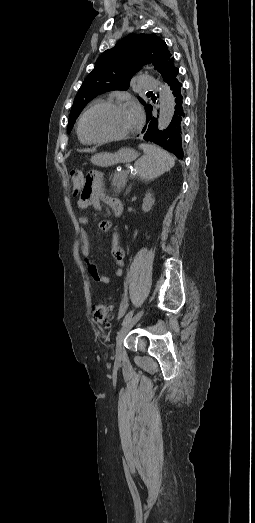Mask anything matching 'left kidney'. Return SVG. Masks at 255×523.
Instances as JSON below:
<instances>
[{
    "mask_svg": "<svg viewBox=\"0 0 255 523\" xmlns=\"http://www.w3.org/2000/svg\"><path fill=\"white\" fill-rule=\"evenodd\" d=\"M154 198H152V194H150V192H148V194H146L145 198H143V204H142V210H144V212H149V210H151L152 206H154Z\"/></svg>",
    "mask_w": 255,
    "mask_h": 523,
    "instance_id": "obj_1",
    "label": "left kidney"
}]
</instances>
